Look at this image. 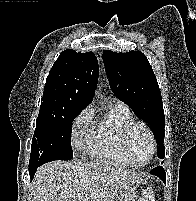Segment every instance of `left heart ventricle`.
<instances>
[{"instance_id": "left-heart-ventricle-1", "label": "left heart ventricle", "mask_w": 196, "mask_h": 201, "mask_svg": "<svg viewBox=\"0 0 196 201\" xmlns=\"http://www.w3.org/2000/svg\"><path fill=\"white\" fill-rule=\"evenodd\" d=\"M150 140L142 128H136L130 136V154L134 164H143L150 155Z\"/></svg>"}]
</instances>
